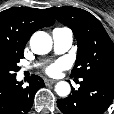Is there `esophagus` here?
Returning a JSON list of instances; mask_svg holds the SVG:
<instances>
[{
	"instance_id": "1",
	"label": "esophagus",
	"mask_w": 114,
	"mask_h": 114,
	"mask_svg": "<svg viewBox=\"0 0 114 114\" xmlns=\"http://www.w3.org/2000/svg\"><path fill=\"white\" fill-rule=\"evenodd\" d=\"M44 82H45L46 85H49V84H54L57 81L56 80H53V79H45Z\"/></svg>"
}]
</instances>
